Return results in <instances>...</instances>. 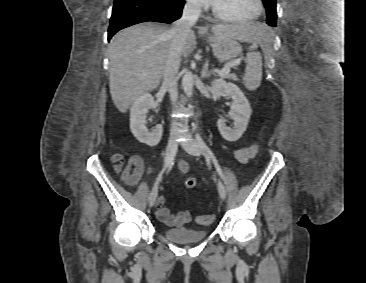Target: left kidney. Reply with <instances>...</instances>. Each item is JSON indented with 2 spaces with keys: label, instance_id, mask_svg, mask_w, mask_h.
<instances>
[{
  "label": "left kidney",
  "instance_id": "1",
  "mask_svg": "<svg viewBox=\"0 0 366 283\" xmlns=\"http://www.w3.org/2000/svg\"><path fill=\"white\" fill-rule=\"evenodd\" d=\"M210 90L215 100L220 99V97L232 98L229 117L234 121V127L226 126L223 118L218 120L217 127L225 140L231 142L238 140L245 132L252 113L247 98L237 85L223 79L213 80Z\"/></svg>",
  "mask_w": 366,
  "mask_h": 283
}]
</instances>
